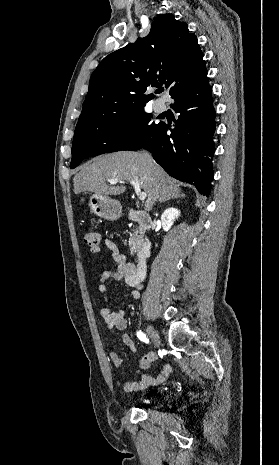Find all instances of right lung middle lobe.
<instances>
[{"instance_id": "right-lung-middle-lobe-1", "label": "right lung middle lobe", "mask_w": 279, "mask_h": 465, "mask_svg": "<svg viewBox=\"0 0 279 465\" xmlns=\"http://www.w3.org/2000/svg\"><path fill=\"white\" fill-rule=\"evenodd\" d=\"M143 107L125 113L105 115L97 122L76 126L71 168L90 156L142 146L155 137L163 125L151 123Z\"/></svg>"}]
</instances>
